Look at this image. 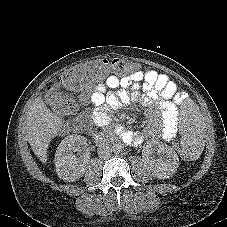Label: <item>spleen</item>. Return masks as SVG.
<instances>
[{"instance_id": "1", "label": "spleen", "mask_w": 227, "mask_h": 227, "mask_svg": "<svg viewBox=\"0 0 227 227\" xmlns=\"http://www.w3.org/2000/svg\"><path fill=\"white\" fill-rule=\"evenodd\" d=\"M181 118L180 137L185 152L192 156H199L206 149V142L202 137V115L197 102L186 100L179 107Z\"/></svg>"}]
</instances>
